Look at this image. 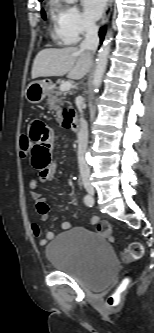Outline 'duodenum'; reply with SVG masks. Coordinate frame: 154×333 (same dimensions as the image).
Masks as SVG:
<instances>
[{
    "label": "duodenum",
    "instance_id": "duodenum-1",
    "mask_svg": "<svg viewBox=\"0 0 154 333\" xmlns=\"http://www.w3.org/2000/svg\"><path fill=\"white\" fill-rule=\"evenodd\" d=\"M70 129L73 133H78L80 129L79 119L76 115H73L69 119Z\"/></svg>",
    "mask_w": 154,
    "mask_h": 333
}]
</instances>
